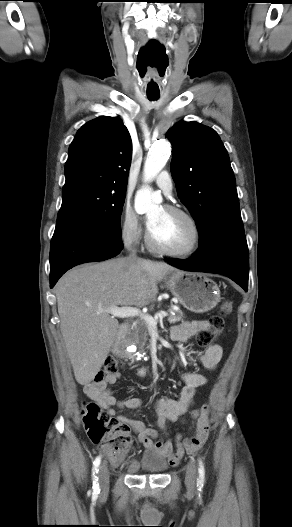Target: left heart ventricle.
I'll list each match as a JSON object with an SVG mask.
<instances>
[{
  "label": "left heart ventricle",
  "mask_w": 292,
  "mask_h": 527,
  "mask_svg": "<svg viewBox=\"0 0 292 527\" xmlns=\"http://www.w3.org/2000/svg\"><path fill=\"white\" fill-rule=\"evenodd\" d=\"M149 217H155V223L149 230L157 244L181 250L191 243L192 228L182 216L167 212L163 208H155L150 211Z\"/></svg>",
  "instance_id": "b2bd125f"
}]
</instances>
